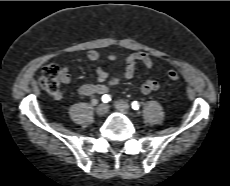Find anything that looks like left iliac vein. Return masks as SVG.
<instances>
[{"label":"left iliac vein","mask_w":230,"mask_h":186,"mask_svg":"<svg viewBox=\"0 0 230 186\" xmlns=\"http://www.w3.org/2000/svg\"><path fill=\"white\" fill-rule=\"evenodd\" d=\"M114 106L117 110L121 112L129 111V104L124 100H116Z\"/></svg>","instance_id":"obj_1"}]
</instances>
